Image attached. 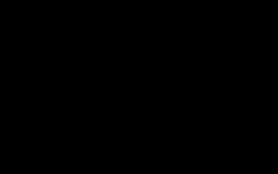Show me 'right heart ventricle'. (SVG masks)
I'll list each match as a JSON object with an SVG mask.
<instances>
[{"instance_id": "obj_1", "label": "right heart ventricle", "mask_w": 278, "mask_h": 174, "mask_svg": "<svg viewBox=\"0 0 278 174\" xmlns=\"http://www.w3.org/2000/svg\"><path fill=\"white\" fill-rule=\"evenodd\" d=\"M160 44L158 41L145 39L137 42L130 50L131 59L138 67H143L154 49Z\"/></svg>"}]
</instances>
